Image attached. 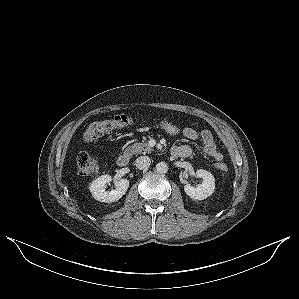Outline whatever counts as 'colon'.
Masks as SVG:
<instances>
[{
	"mask_svg": "<svg viewBox=\"0 0 299 299\" xmlns=\"http://www.w3.org/2000/svg\"><path fill=\"white\" fill-rule=\"evenodd\" d=\"M136 122L137 120L135 118L123 114L117 115L111 119L96 121L87 127L83 134V139L85 142L91 143L105 133L116 129L130 127L136 124ZM158 126L162 131L171 136H179L183 133V129L172 122L160 121L158 122ZM216 167L220 171L227 170V166L224 163H218ZM77 169L78 173L82 176L93 175L99 170L98 159L86 152H81L77 156Z\"/></svg>",
	"mask_w": 299,
	"mask_h": 299,
	"instance_id": "5ec220e1",
	"label": "colon"
}]
</instances>
